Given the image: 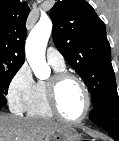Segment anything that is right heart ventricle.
Returning a JSON list of instances; mask_svg holds the SVG:
<instances>
[{
  "instance_id": "right-heart-ventricle-1",
  "label": "right heart ventricle",
  "mask_w": 119,
  "mask_h": 141,
  "mask_svg": "<svg viewBox=\"0 0 119 141\" xmlns=\"http://www.w3.org/2000/svg\"><path fill=\"white\" fill-rule=\"evenodd\" d=\"M55 72L65 71V66L57 67L51 65ZM27 115L33 118H52L51 112L46 98V81H38L36 83L35 92L32 100L26 110Z\"/></svg>"
}]
</instances>
